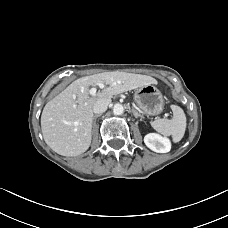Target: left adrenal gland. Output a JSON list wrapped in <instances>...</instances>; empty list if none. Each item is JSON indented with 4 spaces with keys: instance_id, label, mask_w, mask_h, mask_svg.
I'll list each match as a JSON object with an SVG mask.
<instances>
[{
    "instance_id": "a2214340",
    "label": "left adrenal gland",
    "mask_w": 228,
    "mask_h": 228,
    "mask_svg": "<svg viewBox=\"0 0 228 228\" xmlns=\"http://www.w3.org/2000/svg\"><path fill=\"white\" fill-rule=\"evenodd\" d=\"M132 111H133V114L136 118H140V120L144 119V117L141 114H139L136 110L133 109Z\"/></svg>"
}]
</instances>
